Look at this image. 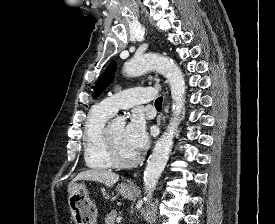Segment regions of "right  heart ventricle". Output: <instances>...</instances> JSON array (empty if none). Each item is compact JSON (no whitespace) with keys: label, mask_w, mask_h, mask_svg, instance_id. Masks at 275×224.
Returning <instances> with one entry per match:
<instances>
[{"label":"right heart ventricle","mask_w":275,"mask_h":224,"mask_svg":"<svg viewBox=\"0 0 275 224\" xmlns=\"http://www.w3.org/2000/svg\"><path fill=\"white\" fill-rule=\"evenodd\" d=\"M110 113L100 105L93 107L83 128V155L86 165L95 170H109L114 166L110 162L103 144V132Z\"/></svg>","instance_id":"e07e8e85"}]
</instances>
